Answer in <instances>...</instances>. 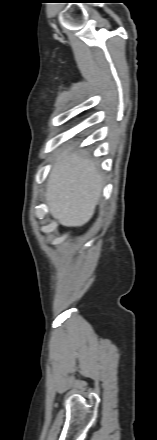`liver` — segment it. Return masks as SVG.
<instances>
[{
	"label": "liver",
	"mask_w": 157,
	"mask_h": 440,
	"mask_svg": "<svg viewBox=\"0 0 157 440\" xmlns=\"http://www.w3.org/2000/svg\"><path fill=\"white\" fill-rule=\"evenodd\" d=\"M103 184V174L93 160L64 150L56 156L47 181L49 213L65 227L84 225L94 215Z\"/></svg>",
	"instance_id": "liver-1"
}]
</instances>
